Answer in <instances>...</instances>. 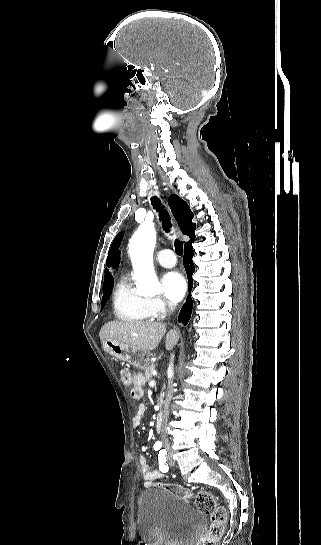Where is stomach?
Masks as SVG:
<instances>
[{
    "mask_svg": "<svg viewBox=\"0 0 321 545\" xmlns=\"http://www.w3.org/2000/svg\"><path fill=\"white\" fill-rule=\"evenodd\" d=\"M102 349L105 353L112 355L113 359H118V361H126L130 363L133 367L137 369H147L150 363V353L149 351H139L135 347H130V345H125V343H119V341H114V339H104L102 341Z\"/></svg>",
    "mask_w": 321,
    "mask_h": 545,
    "instance_id": "stomach-1",
    "label": "stomach"
}]
</instances>
